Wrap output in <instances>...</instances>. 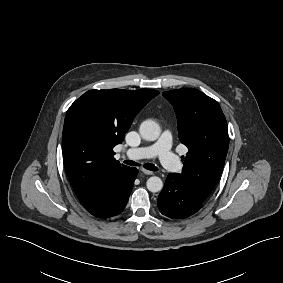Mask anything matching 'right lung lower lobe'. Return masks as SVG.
<instances>
[{
    "label": "right lung lower lobe",
    "instance_id": "1",
    "mask_svg": "<svg viewBox=\"0 0 283 283\" xmlns=\"http://www.w3.org/2000/svg\"><path fill=\"white\" fill-rule=\"evenodd\" d=\"M137 174L136 168L127 167L109 180L105 184L97 204L88 212L98 218H108L120 214L127 204Z\"/></svg>",
    "mask_w": 283,
    "mask_h": 283
}]
</instances>
